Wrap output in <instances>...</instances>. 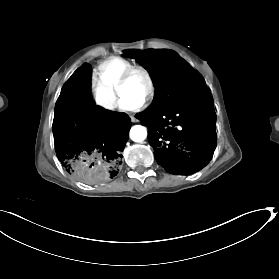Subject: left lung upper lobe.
<instances>
[{
    "label": "left lung upper lobe",
    "mask_w": 279,
    "mask_h": 279,
    "mask_svg": "<svg viewBox=\"0 0 279 279\" xmlns=\"http://www.w3.org/2000/svg\"><path fill=\"white\" fill-rule=\"evenodd\" d=\"M150 73L155 96L144 114L157 115L200 89L207 88L204 80L176 52L171 50H125Z\"/></svg>",
    "instance_id": "5c2ea615"
}]
</instances>
